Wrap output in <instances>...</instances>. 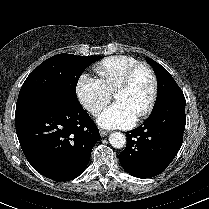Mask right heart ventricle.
<instances>
[{
    "mask_svg": "<svg viewBox=\"0 0 209 209\" xmlns=\"http://www.w3.org/2000/svg\"><path fill=\"white\" fill-rule=\"evenodd\" d=\"M138 64L139 61L133 57L118 55L102 60L94 70L99 80L113 92L127 72Z\"/></svg>",
    "mask_w": 209,
    "mask_h": 209,
    "instance_id": "right-heart-ventricle-1",
    "label": "right heart ventricle"
}]
</instances>
